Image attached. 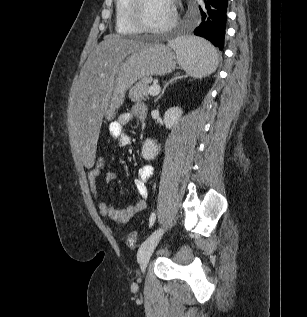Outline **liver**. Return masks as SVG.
Instances as JSON below:
<instances>
[{"mask_svg": "<svg viewBox=\"0 0 307 317\" xmlns=\"http://www.w3.org/2000/svg\"><path fill=\"white\" fill-rule=\"evenodd\" d=\"M146 45L143 41L107 35L82 67L79 79L73 85L68 108L70 142L81 154V167L90 170L96 166L95 141L121 62Z\"/></svg>", "mask_w": 307, "mask_h": 317, "instance_id": "obj_1", "label": "liver"}]
</instances>
